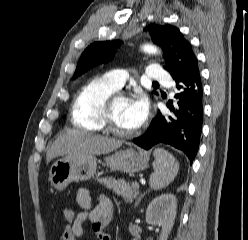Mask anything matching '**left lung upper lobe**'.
<instances>
[{
	"instance_id": "obj_1",
	"label": "left lung upper lobe",
	"mask_w": 248,
	"mask_h": 240,
	"mask_svg": "<svg viewBox=\"0 0 248 240\" xmlns=\"http://www.w3.org/2000/svg\"><path fill=\"white\" fill-rule=\"evenodd\" d=\"M145 30H150L153 42L164 50L166 60L164 68L171 74L172 78L181 76L196 59L191 44L177 27L169 24H151ZM121 43L118 40L99 41L89 45L79 59L74 78L94 65L108 61Z\"/></svg>"
}]
</instances>
